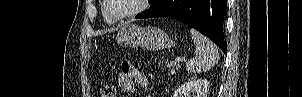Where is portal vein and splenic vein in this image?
Segmentation results:
<instances>
[{"label":"portal vein and splenic vein","mask_w":302,"mask_h":97,"mask_svg":"<svg viewBox=\"0 0 302 97\" xmlns=\"http://www.w3.org/2000/svg\"><path fill=\"white\" fill-rule=\"evenodd\" d=\"M181 62V58L180 57H176L175 58V63H180Z\"/></svg>","instance_id":"portal-vein-and-splenic-vein-1"}]
</instances>
